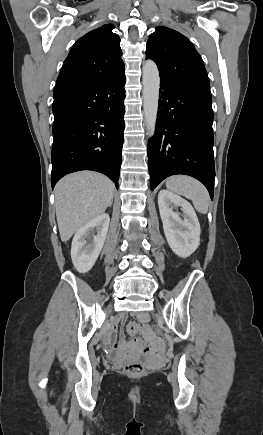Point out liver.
Listing matches in <instances>:
<instances>
[{"label":"liver","mask_w":263,"mask_h":435,"mask_svg":"<svg viewBox=\"0 0 263 435\" xmlns=\"http://www.w3.org/2000/svg\"><path fill=\"white\" fill-rule=\"evenodd\" d=\"M114 188L109 178L91 171L69 174L56 184V217L63 242L105 212L112 204Z\"/></svg>","instance_id":"1"}]
</instances>
